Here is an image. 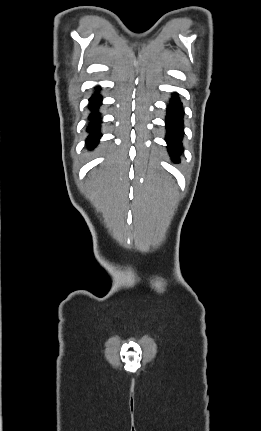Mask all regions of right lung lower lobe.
<instances>
[{
  "label": "right lung lower lobe",
  "mask_w": 261,
  "mask_h": 431,
  "mask_svg": "<svg viewBox=\"0 0 261 431\" xmlns=\"http://www.w3.org/2000/svg\"><path fill=\"white\" fill-rule=\"evenodd\" d=\"M101 100L102 97L100 94H95L89 99V109L91 110V114L88 117L90 124L86 129V131L89 133V136L86 141L88 150H93L94 147L97 146L98 140L101 137V117L100 113L98 112V108L101 105Z\"/></svg>",
  "instance_id": "98d812e1"
}]
</instances>
